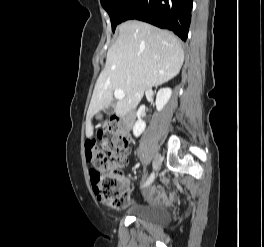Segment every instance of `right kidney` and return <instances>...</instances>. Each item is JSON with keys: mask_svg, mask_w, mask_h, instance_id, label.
<instances>
[{"mask_svg": "<svg viewBox=\"0 0 264 247\" xmlns=\"http://www.w3.org/2000/svg\"><path fill=\"white\" fill-rule=\"evenodd\" d=\"M171 94L172 90L170 88H162L158 91L156 96V108L158 111H161L164 108V106L169 101ZM144 109L145 107L141 106L137 111L138 120L133 127V134L135 137H139L146 128V124L141 120V115Z\"/></svg>", "mask_w": 264, "mask_h": 247, "instance_id": "obj_1", "label": "right kidney"}]
</instances>
